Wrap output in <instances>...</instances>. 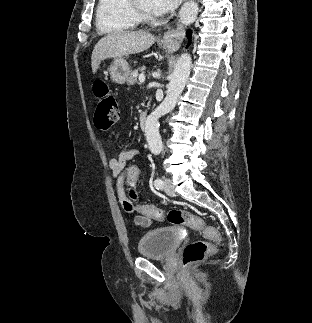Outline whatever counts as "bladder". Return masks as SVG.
Listing matches in <instances>:
<instances>
[{
  "label": "bladder",
  "instance_id": "1",
  "mask_svg": "<svg viewBox=\"0 0 312 323\" xmlns=\"http://www.w3.org/2000/svg\"><path fill=\"white\" fill-rule=\"evenodd\" d=\"M181 240L172 227L155 228L147 231L138 244V253L143 257L162 259L176 251Z\"/></svg>",
  "mask_w": 312,
  "mask_h": 323
}]
</instances>
